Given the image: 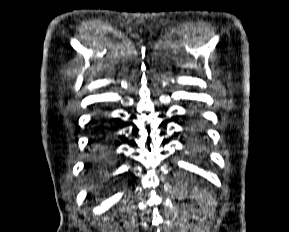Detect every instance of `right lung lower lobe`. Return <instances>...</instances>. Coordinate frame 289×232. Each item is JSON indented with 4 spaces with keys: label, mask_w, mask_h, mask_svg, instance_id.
<instances>
[{
    "label": "right lung lower lobe",
    "mask_w": 289,
    "mask_h": 232,
    "mask_svg": "<svg viewBox=\"0 0 289 232\" xmlns=\"http://www.w3.org/2000/svg\"><path fill=\"white\" fill-rule=\"evenodd\" d=\"M111 140L109 129L104 121L97 122L94 137L91 139L92 151L88 160V166L99 168L109 160V142Z\"/></svg>",
    "instance_id": "98d812e1"
}]
</instances>
